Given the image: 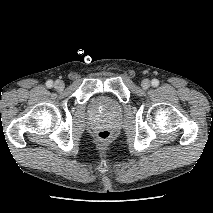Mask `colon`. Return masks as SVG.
I'll return each mask as SVG.
<instances>
[{
	"label": "colon",
	"mask_w": 213,
	"mask_h": 213,
	"mask_svg": "<svg viewBox=\"0 0 213 213\" xmlns=\"http://www.w3.org/2000/svg\"><path fill=\"white\" fill-rule=\"evenodd\" d=\"M111 133L108 130H100L96 133V139L102 144H106L111 139Z\"/></svg>",
	"instance_id": "obj_1"
}]
</instances>
